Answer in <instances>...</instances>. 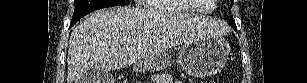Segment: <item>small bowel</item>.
Instances as JSON below:
<instances>
[{
  "label": "small bowel",
  "instance_id": "obj_1",
  "mask_svg": "<svg viewBox=\"0 0 307 83\" xmlns=\"http://www.w3.org/2000/svg\"><path fill=\"white\" fill-rule=\"evenodd\" d=\"M172 82V78L168 74H163L160 76L158 83H170Z\"/></svg>",
  "mask_w": 307,
  "mask_h": 83
}]
</instances>
